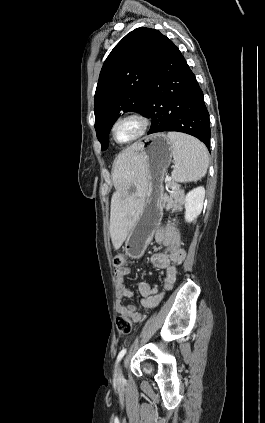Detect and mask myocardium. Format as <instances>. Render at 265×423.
Wrapping results in <instances>:
<instances>
[{"instance_id":"obj_1","label":"myocardium","mask_w":265,"mask_h":423,"mask_svg":"<svg viewBox=\"0 0 265 423\" xmlns=\"http://www.w3.org/2000/svg\"><path fill=\"white\" fill-rule=\"evenodd\" d=\"M127 121H135L138 124V131L131 139L126 141H121L117 137L116 130H117V127L121 123H124ZM149 127H150V121L146 116H144L140 112L129 111L120 115L114 120V122L111 125V134L116 143L121 145H128L141 139L148 132Z\"/></svg>"}]
</instances>
